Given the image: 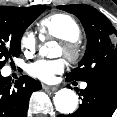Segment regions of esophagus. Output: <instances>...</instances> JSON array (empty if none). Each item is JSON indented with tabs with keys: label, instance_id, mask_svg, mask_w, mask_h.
Masks as SVG:
<instances>
[{
	"label": "esophagus",
	"instance_id": "esophagus-1",
	"mask_svg": "<svg viewBox=\"0 0 117 117\" xmlns=\"http://www.w3.org/2000/svg\"><path fill=\"white\" fill-rule=\"evenodd\" d=\"M42 88L44 89V90H52V91H55V90H57V86H49V85H45V84H43L42 85Z\"/></svg>",
	"mask_w": 117,
	"mask_h": 117
}]
</instances>
